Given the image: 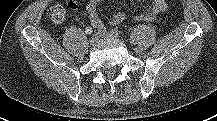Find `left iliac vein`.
<instances>
[{
	"mask_svg": "<svg viewBox=\"0 0 217 121\" xmlns=\"http://www.w3.org/2000/svg\"><path fill=\"white\" fill-rule=\"evenodd\" d=\"M101 36L105 37V38H117L118 37L115 34H113L112 32L103 33Z\"/></svg>",
	"mask_w": 217,
	"mask_h": 121,
	"instance_id": "obj_1",
	"label": "left iliac vein"
}]
</instances>
